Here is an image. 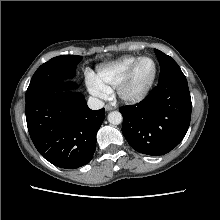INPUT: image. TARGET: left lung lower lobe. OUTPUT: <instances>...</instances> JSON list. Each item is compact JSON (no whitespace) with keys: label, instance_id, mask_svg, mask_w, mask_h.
Here are the masks:
<instances>
[{"label":"left lung lower lobe","instance_id":"0a47b994","mask_svg":"<svg viewBox=\"0 0 220 220\" xmlns=\"http://www.w3.org/2000/svg\"><path fill=\"white\" fill-rule=\"evenodd\" d=\"M191 97L186 77L176 75L158 82L138 105L120 108L122 133L129 145L147 155H163L184 138L191 119Z\"/></svg>","mask_w":220,"mask_h":220}]
</instances>
